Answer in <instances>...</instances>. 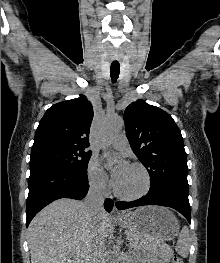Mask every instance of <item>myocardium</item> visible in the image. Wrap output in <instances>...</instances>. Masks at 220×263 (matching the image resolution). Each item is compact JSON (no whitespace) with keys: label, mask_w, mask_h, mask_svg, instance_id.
<instances>
[{"label":"myocardium","mask_w":220,"mask_h":263,"mask_svg":"<svg viewBox=\"0 0 220 263\" xmlns=\"http://www.w3.org/2000/svg\"><path fill=\"white\" fill-rule=\"evenodd\" d=\"M130 165L139 168L143 172L144 177H145V186L141 192L129 195V194L121 193L116 188V185L114 183L113 184V192H114L115 196L122 199V200H125V201L138 200V199L144 197L145 195H147L148 192L150 191V188H151V176H150L148 169L140 162H133Z\"/></svg>","instance_id":"f54148a6"}]
</instances>
